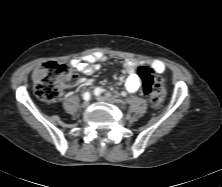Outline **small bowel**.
<instances>
[{
	"instance_id": "c3829d8e",
	"label": "small bowel",
	"mask_w": 222,
	"mask_h": 187,
	"mask_svg": "<svg viewBox=\"0 0 222 187\" xmlns=\"http://www.w3.org/2000/svg\"><path fill=\"white\" fill-rule=\"evenodd\" d=\"M106 55L102 53H95L86 56L84 59H75L72 61V66L84 75H91L98 68V62L104 61ZM140 65L148 67L155 73L161 74L165 71V65L161 61L139 62L137 60L128 59L124 62V67L128 72V77L125 80L126 90L130 93L136 92L140 87V79L137 73V68ZM78 83L84 85L85 78H79Z\"/></svg>"
}]
</instances>
